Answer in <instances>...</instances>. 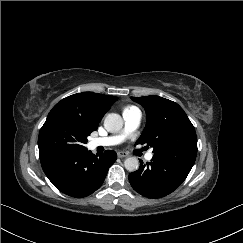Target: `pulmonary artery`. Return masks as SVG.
Returning <instances> with one entry per match:
<instances>
[{"instance_id":"pulmonary-artery-1","label":"pulmonary artery","mask_w":243,"mask_h":243,"mask_svg":"<svg viewBox=\"0 0 243 243\" xmlns=\"http://www.w3.org/2000/svg\"><path fill=\"white\" fill-rule=\"evenodd\" d=\"M124 129L121 133L92 139L89 142L91 149L97 147L115 146L123 142L132 132H134L141 123L142 112L138 107H130L123 111ZM152 152L147 153L146 159L151 160Z\"/></svg>"}]
</instances>
